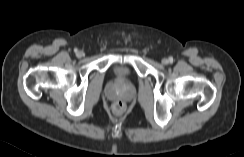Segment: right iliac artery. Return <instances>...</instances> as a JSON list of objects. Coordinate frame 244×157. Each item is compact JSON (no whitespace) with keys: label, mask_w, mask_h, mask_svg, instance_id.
Returning a JSON list of instances; mask_svg holds the SVG:
<instances>
[{"label":"right iliac artery","mask_w":244,"mask_h":157,"mask_svg":"<svg viewBox=\"0 0 244 157\" xmlns=\"http://www.w3.org/2000/svg\"><path fill=\"white\" fill-rule=\"evenodd\" d=\"M74 52H75V53H78V49H77V48H76V49H74Z\"/></svg>","instance_id":"1"}]
</instances>
